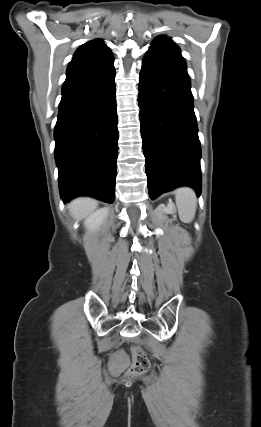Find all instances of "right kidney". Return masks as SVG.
<instances>
[{
  "instance_id": "ca27d5eb",
  "label": "right kidney",
  "mask_w": 261,
  "mask_h": 427,
  "mask_svg": "<svg viewBox=\"0 0 261 427\" xmlns=\"http://www.w3.org/2000/svg\"><path fill=\"white\" fill-rule=\"evenodd\" d=\"M108 209L101 208L93 212L90 216H88L84 222L85 227L88 230H94L99 228L105 219L107 218Z\"/></svg>"
}]
</instances>
